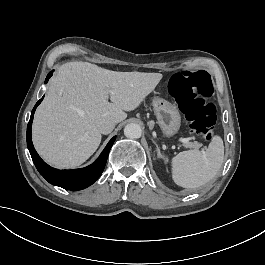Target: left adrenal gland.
<instances>
[{
  "instance_id": "1",
  "label": "left adrenal gland",
  "mask_w": 265,
  "mask_h": 265,
  "mask_svg": "<svg viewBox=\"0 0 265 265\" xmlns=\"http://www.w3.org/2000/svg\"><path fill=\"white\" fill-rule=\"evenodd\" d=\"M152 142L155 144L156 146V151H157V156L158 158H163V155L160 152V148L158 147L157 143L152 139Z\"/></svg>"
}]
</instances>
